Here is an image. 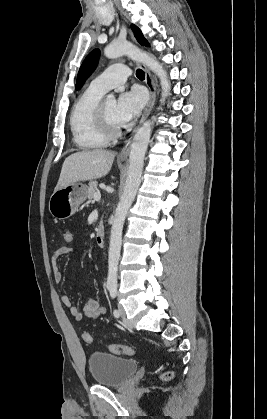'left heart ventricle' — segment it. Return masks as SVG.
<instances>
[{"label": "left heart ventricle", "mask_w": 267, "mask_h": 419, "mask_svg": "<svg viewBox=\"0 0 267 419\" xmlns=\"http://www.w3.org/2000/svg\"><path fill=\"white\" fill-rule=\"evenodd\" d=\"M104 110H105L106 117L110 125L113 127H121L116 120V102L114 101L105 102Z\"/></svg>", "instance_id": "obj_1"}]
</instances>
